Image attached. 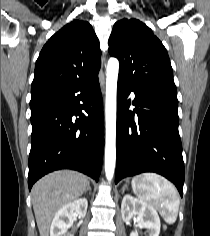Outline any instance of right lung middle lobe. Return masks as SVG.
<instances>
[{"mask_svg": "<svg viewBox=\"0 0 210 236\" xmlns=\"http://www.w3.org/2000/svg\"><path fill=\"white\" fill-rule=\"evenodd\" d=\"M60 93H61L60 91L49 89V88L36 90L35 92L31 93L30 106H33L43 100L57 96Z\"/></svg>", "mask_w": 210, "mask_h": 236, "instance_id": "obj_1", "label": "right lung middle lobe"}]
</instances>
